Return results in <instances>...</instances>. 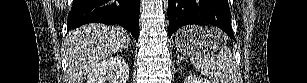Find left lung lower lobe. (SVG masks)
<instances>
[{
    "label": "left lung lower lobe",
    "instance_id": "left-lung-lower-lobe-1",
    "mask_svg": "<svg viewBox=\"0 0 307 83\" xmlns=\"http://www.w3.org/2000/svg\"><path fill=\"white\" fill-rule=\"evenodd\" d=\"M169 37L184 25H215L231 38L228 0H168Z\"/></svg>",
    "mask_w": 307,
    "mask_h": 83
}]
</instances>
